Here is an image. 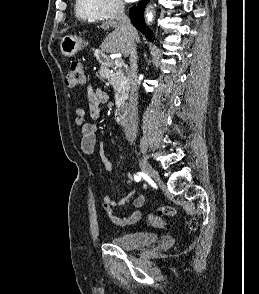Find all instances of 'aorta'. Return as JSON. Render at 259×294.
Instances as JSON below:
<instances>
[{
    "instance_id": "obj_1",
    "label": "aorta",
    "mask_w": 259,
    "mask_h": 294,
    "mask_svg": "<svg viewBox=\"0 0 259 294\" xmlns=\"http://www.w3.org/2000/svg\"><path fill=\"white\" fill-rule=\"evenodd\" d=\"M146 17H147L148 22L152 21V19H153V14H152V12L147 13Z\"/></svg>"
}]
</instances>
